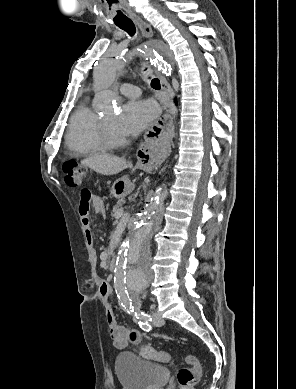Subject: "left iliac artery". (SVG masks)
<instances>
[{
  "mask_svg": "<svg viewBox=\"0 0 296 389\" xmlns=\"http://www.w3.org/2000/svg\"><path fill=\"white\" fill-rule=\"evenodd\" d=\"M128 313H132L135 316V318L138 320L139 326L144 331L148 332L151 330V325L149 323L152 321V318L150 317V315L140 311L139 307L132 306V303H130Z\"/></svg>",
  "mask_w": 296,
  "mask_h": 389,
  "instance_id": "44dca946",
  "label": "left iliac artery"
}]
</instances>
